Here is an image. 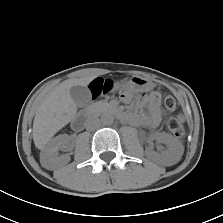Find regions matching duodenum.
Here are the masks:
<instances>
[{
	"label": "duodenum",
	"instance_id": "1",
	"mask_svg": "<svg viewBox=\"0 0 223 223\" xmlns=\"http://www.w3.org/2000/svg\"><path fill=\"white\" fill-rule=\"evenodd\" d=\"M115 114L117 115V117L121 119H126V116L122 111H116ZM83 125H84V122H83L82 117L78 116L73 120L72 127L74 129H80L81 127H83Z\"/></svg>",
	"mask_w": 223,
	"mask_h": 223
}]
</instances>
